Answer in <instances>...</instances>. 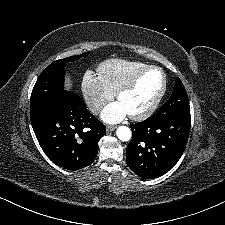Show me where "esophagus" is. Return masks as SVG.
<instances>
[{"instance_id":"esophagus-1","label":"esophagus","mask_w":225,"mask_h":225,"mask_svg":"<svg viewBox=\"0 0 225 225\" xmlns=\"http://www.w3.org/2000/svg\"><path fill=\"white\" fill-rule=\"evenodd\" d=\"M116 128H117V126H115V125H108L106 127V131L111 132V131H114Z\"/></svg>"}]
</instances>
